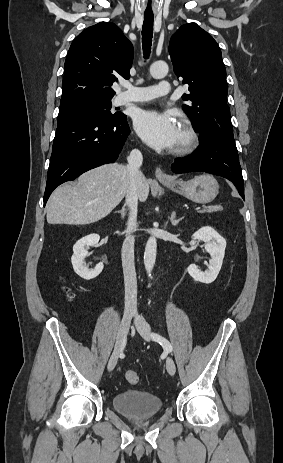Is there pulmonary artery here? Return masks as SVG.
<instances>
[{
  "label": "pulmonary artery",
  "instance_id": "e3ab8cb5",
  "mask_svg": "<svg viewBox=\"0 0 283 463\" xmlns=\"http://www.w3.org/2000/svg\"><path fill=\"white\" fill-rule=\"evenodd\" d=\"M125 87L127 90L120 93L115 99V103L117 105L149 101L168 95L172 90L170 83L167 81H162L158 85L148 87H134L131 85H127Z\"/></svg>",
  "mask_w": 283,
  "mask_h": 463
}]
</instances>
